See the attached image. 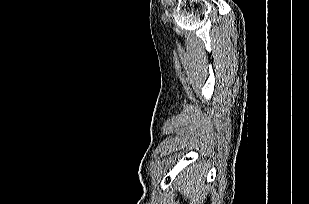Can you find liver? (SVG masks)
I'll use <instances>...</instances> for the list:
<instances>
[{
    "label": "liver",
    "mask_w": 309,
    "mask_h": 204,
    "mask_svg": "<svg viewBox=\"0 0 309 204\" xmlns=\"http://www.w3.org/2000/svg\"><path fill=\"white\" fill-rule=\"evenodd\" d=\"M205 171L196 165L194 169H186L178 177V191L189 201V204H204L207 196L204 185Z\"/></svg>",
    "instance_id": "liver-1"
}]
</instances>
